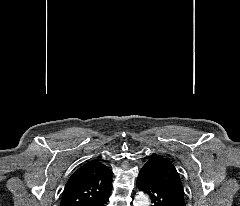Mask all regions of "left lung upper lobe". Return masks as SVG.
Instances as JSON below:
<instances>
[{
  "label": "left lung upper lobe",
  "instance_id": "1",
  "mask_svg": "<svg viewBox=\"0 0 240 206\" xmlns=\"http://www.w3.org/2000/svg\"><path fill=\"white\" fill-rule=\"evenodd\" d=\"M148 163L152 164L155 172L171 193L181 203L185 204L182 182L174 165L168 159L161 156L151 158L146 164Z\"/></svg>",
  "mask_w": 240,
  "mask_h": 206
}]
</instances>
